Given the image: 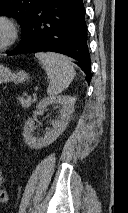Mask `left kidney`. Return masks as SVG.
Listing matches in <instances>:
<instances>
[{"label":"left kidney","mask_w":128,"mask_h":213,"mask_svg":"<svg viewBox=\"0 0 128 213\" xmlns=\"http://www.w3.org/2000/svg\"><path fill=\"white\" fill-rule=\"evenodd\" d=\"M75 98L72 96H54L47 97L37 104V109L45 110L48 105L59 104L62 109L59 112L57 120L52 123V129L47 131L43 137H34L32 131L34 129V121L29 118L24 125L23 137L25 143L31 149H41L54 142L66 129L70 116L74 111Z\"/></svg>","instance_id":"left-kidney-1"}]
</instances>
